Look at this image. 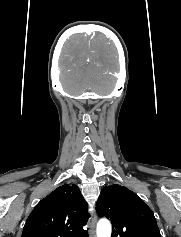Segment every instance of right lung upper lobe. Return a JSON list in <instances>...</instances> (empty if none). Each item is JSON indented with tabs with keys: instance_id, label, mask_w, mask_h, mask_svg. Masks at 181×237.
I'll use <instances>...</instances> for the list:
<instances>
[{
	"instance_id": "1",
	"label": "right lung upper lobe",
	"mask_w": 181,
	"mask_h": 237,
	"mask_svg": "<svg viewBox=\"0 0 181 237\" xmlns=\"http://www.w3.org/2000/svg\"><path fill=\"white\" fill-rule=\"evenodd\" d=\"M89 217L78 186L64 184L35 206L21 237H88L83 226Z\"/></svg>"
}]
</instances>
